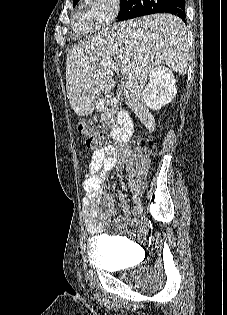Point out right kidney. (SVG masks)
<instances>
[{"instance_id": "1", "label": "right kidney", "mask_w": 227, "mask_h": 315, "mask_svg": "<svg viewBox=\"0 0 227 315\" xmlns=\"http://www.w3.org/2000/svg\"><path fill=\"white\" fill-rule=\"evenodd\" d=\"M149 78L150 82L143 91V100L148 107L157 110L176 96V80L172 71L163 66L154 69Z\"/></svg>"}]
</instances>
